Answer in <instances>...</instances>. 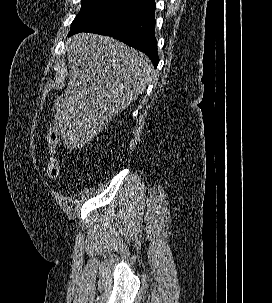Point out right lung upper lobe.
<instances>
[{"instance_id":"1","label":"right lung upper lobe","mask_w":272,"mask_h":303,"mask_svg":"<svg viewBox=\"0 0 272 303\" xmlns=\"http://www.w3.org/2000/svg\"><path fill=\"white\" fill-rule=\"evenodd\" d=\"M120 1L133 3V4L137 5L141 10L155 5L154 0H120Z\"/></svg>"}]
</instances>
